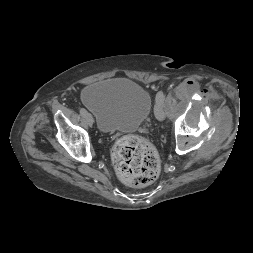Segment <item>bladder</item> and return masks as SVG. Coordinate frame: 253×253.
<instances>
[{
    "instance_id": "1",
    "label": "bladder",
    "mask_w": 253,
    "mask_h": 253,
    "mask_svg": "<svg viewBox=\"0 0 253 253\" xmlns=\"http://www.w3.org/2000/svg\"><path fill=\"white\" fill-rule=\"evenodd\" d=\"M82 101L96 116L102 132L134 131L149 116L152 98L137 82L118 78L89 85Z\"/></svg>"
}]
</instances>
